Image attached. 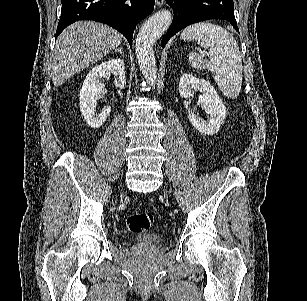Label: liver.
<instances>
[{
	"label": "liver",
	"mask_w": 307,
	"mask_h": 301,
	"mask_svg": "<svg viewBox=\"0 0 307 301\" xmlns=\"http://www.w3.org/2000/svg\"><path fill=\"white\" fill-rule=\"evenodd\" d=\"M123 34L108 24L78 20L59 34L51 56V78L61 86L68 78L97 62L121 44Z\"/></svg>",
	"instance_id": "liver-1"
}]
</instances>
